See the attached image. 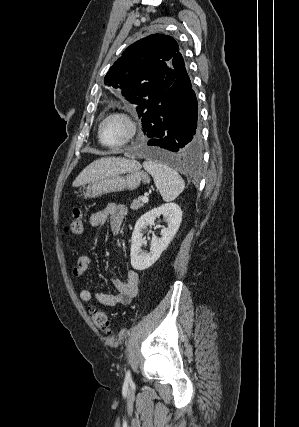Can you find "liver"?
Returning a JSON list of instances; mask_svg holds the SVG:
<instances>
[{
    "instance_id": "1",
    "label": "liver",
    "mask_w": 299,
    "mask_h": 427,
    "mask_svg": "<svg viewBox=\"0 0 299 427\" xmlns=\"http://www.w3.org/2000/svg\"><path fill=\"white\" fill-rule=\"evenodd\" d=\"M141 168L136 160L119 157H103L90 163L73 181V187L83 186L87 183L119 173H126Z\"/></svg>"
}]
</instances>
